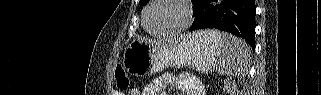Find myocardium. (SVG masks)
Segmentation results:
<instances>
[{"instance_id": "obj_1", "label": "myocardium", "mask_w": 321, "mask_h": 95, "mask_svg": "<svg viewBox=\"0 0 321 95\" xmlns=\"http://www.w3.org/2000/svg\"><path fill=\"white\" fill-rule=\"evenodd\" d=\"M159 0H151L149 1V3L147 4V6L145 7L144 11H143V16H142V24L144 29L151 35L153 36H157V37H166V36H173V35H177V34H181L183 33L192 23L193 21V7L191 5V2L189 0H175L176 2L180 3L185 11V20L183 22V24L171 31L168 32H163V33H156L151 31L148 26H147V16H148V11L149 9L158 2Z\"/></svg>"}]
</instances>
